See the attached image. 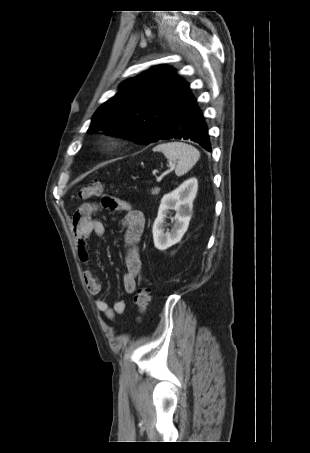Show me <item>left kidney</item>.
<instances>
[{
	"instance_id": "5707ae66",
	"label": "left kidney",
	"mask_w": 310,
	"mask_h": 453,
	"mask_svg": "<svg viewBox=\"0 0 310 453\" xmlns=\"http://www.w3.org/2000/svg\"><path fill=\"white\" fill-rule=\"evenodd\" d=\"M197 190V179L190 178L161 199L158 215L152 230L154 246L158 250L164 251L182 239L193 214V201ZM170 210L176 211L175 217L172 219L174 224L170 232H164L166 227L165 220Z\"/></svg>"
}]
</instances>
